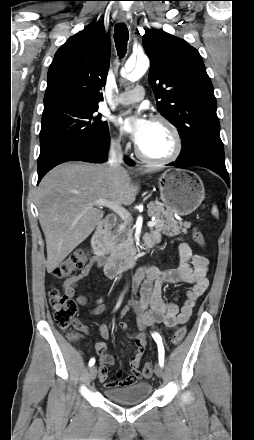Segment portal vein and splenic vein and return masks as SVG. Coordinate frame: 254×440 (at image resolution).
Segmentation results:
<instances>
[{"label":"portal vein and splenic vein","mask_w":254,"mask_h":440,"mask_svg":"<svg viewBox=\"0 0 254 440\" xmlns=\"http://www.w3.org/2000/svg\"><path fill=\"white\" fill-rule=\"evenodd\" d=\"M90 206H104L111 210H113L117 215H119L124 221L128 222L132 219L131 214L123 208L121 205H118L114 202L100 199L90 203ZM157 224V220H152L147 223L148 227H154Z\"/></svg>","instance_id":"obj_1"}]
</instances>
